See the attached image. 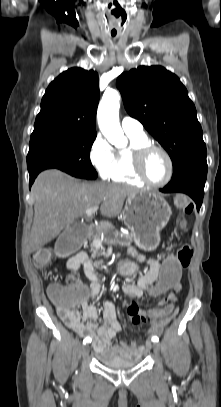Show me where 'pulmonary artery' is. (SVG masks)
<instances>
[{
    "instance_id": "e3ab8cb5",
    "label": "pulmonary artery",
    "mask_w": 221,
    "mask_h": 407,
    "mask_svg": "<svg viewBox=\"0 0 221 407\" xmlns=\"http://www.w3.org/2000/svg\"><path fill=\"white\" fill-rule=\"evenodd\" d=\"M121 127L125 133L144 134L142 124L135 118L126 116L121 121Z\"/></svg>"
}]
</instances>
